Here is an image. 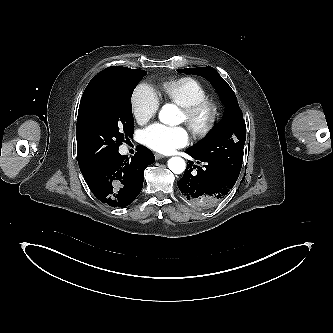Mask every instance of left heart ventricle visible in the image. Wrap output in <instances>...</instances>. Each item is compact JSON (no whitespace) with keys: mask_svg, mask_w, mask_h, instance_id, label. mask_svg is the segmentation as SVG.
<instances>
[{"mask_svg":"<svg viewBox=\"0 0 333 333\" xmlns=\"http://www.w3.org/2000/svg\"><path fill=\"white\" fill-rule=\"evenodd\" d=\"M206 119H207V115H204V116L201 117L199 122L204 123L206 121ZM181 121H185V117H184L183 113L181 114Z\"/></svg>","mask_w":333,"mask_h":333,"instance_id":"1","label":"left heart ventricle"}]
</instances>
